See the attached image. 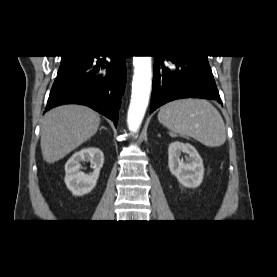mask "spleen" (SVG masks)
Segmentation results:
<instances>
[{"mask_svg":"<svg viewBox=\"0 0 277 277\" xmlns=\"http://www.w3.org/2000/svg\"><path fill=\"white\" fill-rule=\"evenodd\" d=\"M159 122L180 136H190L209 147L225 143L224 121L218 110L203 99H180L167 103L158 113Z\"/></svg>","mask_w":277,"mask_h":277,"instance_id":"3e777b00","label":"spleen"}]
</instances>
